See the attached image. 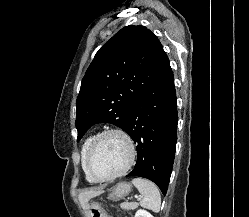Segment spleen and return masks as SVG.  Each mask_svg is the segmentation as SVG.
<instances>
[{"label":"spleen","instance_id":"1","mask_svg":"<svg viewBox=\"0 0 249 217\" xmlns=\"http://www.w3.org/2000/svg\"><path fill=\"white\" fill-rule=\"evenodd\" d=\"M133 185L141 192L143 199L140 205L150 209L153 212H159L161 206V196L158 187L150 180L143 178H134Z\"/></svg>","mask_w":249,"mask_h":217}]
</instances>
